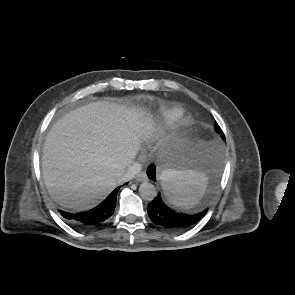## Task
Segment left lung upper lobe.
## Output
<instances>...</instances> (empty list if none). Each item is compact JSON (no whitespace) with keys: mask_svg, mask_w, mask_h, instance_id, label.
<instances>
[{"mask_svg":"<svg viewBox=\"0 0 295 295\" xmlns=\"http://www.w3.org/2000/svg\"><path fill=\"white\" fill-rule=\"evenodd\" d=\"M215 127H216V130L221 134V136L223 137V139H225L224 134H223L221 128L219 127V125L217 124Z\"/></svg>","mask_w":295,"mask_h":295,"instance_id":"left-lung-upper-lobe-1","label":"left lung upper lobe"}]
</instances>
